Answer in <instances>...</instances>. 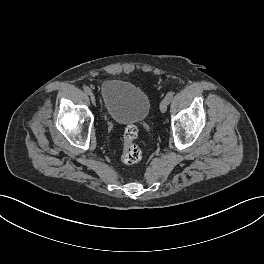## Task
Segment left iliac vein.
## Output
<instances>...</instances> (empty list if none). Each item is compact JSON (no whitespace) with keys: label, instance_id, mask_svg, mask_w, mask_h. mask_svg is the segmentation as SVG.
Instances as JSON below:
<instances>
[{"label":"left iliac vein","instance_id":"left-iliac-vein-1","mask_svg":"<svg viewBox=\"0 0 264 264\" xmlns=\"http://www.w3.org/2000/svg\"><path fill=\"white\" fill-rule=\"evenodd\" d=\"M168 104H169V102H168L166 99H163V100L161 101V103H160V111H161L162 113H165V112H166L167 107H168Z\"/></svg>","mask_w":264,"mask_h":264}]
</instances>
